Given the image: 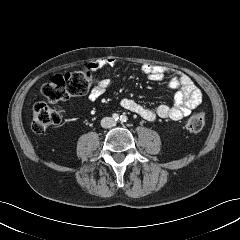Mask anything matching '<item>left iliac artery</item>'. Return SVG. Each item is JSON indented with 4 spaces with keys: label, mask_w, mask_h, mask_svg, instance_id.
Here are the masks:
<instances>
[{
    "label": "left iliac artery",
    "mask_w": 240,
    "mask_h": 240,
    "mask_svg": "<svg viewBox=\"0 0 240 240\" xmlns=\"http://www.w3.org/2000/svg\"><path fill=\"white\" fill-rule=\"evenodd\" d=\"M128 120V117L126 115H121L120 116V121L123 123V122H127Z\"/></svg>",
    "instance_id": "44dca946"
}]
</instances>
